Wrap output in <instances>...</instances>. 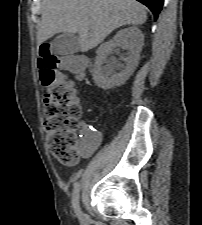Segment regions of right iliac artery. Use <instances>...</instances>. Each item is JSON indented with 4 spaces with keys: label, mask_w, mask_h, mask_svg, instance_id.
Masks as SVG:
<instances>
[{
    "label": "right iliac artery",
    "mask_w": 202,
    "mask_h": 225,
    "mask_svg": "<svg viewBox=\"0 0 202 225\" xmlns=\"http://www.w3.org/2000/svg\"><path fill=\"white\" fill-rule=\"evenodd\" d=\"M79 189H80V184L79 182H76L73 189L72 203H73L74 211L78 216L80 214Z\"/></svg>",
    "instance_id": "1"
}]
</instances>
